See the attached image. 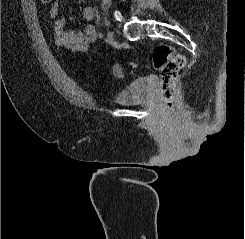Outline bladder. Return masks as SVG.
Masks as SVG:
<instances>
[{
	"instance_id": "1",
	"label": "bladder",
	"mask_w": 245,
	"mask_h": 239,
	"mask_svg": "<svg viewBox=\"0 0 245 239\" xmlns=\"http://www.w3.org/2000/svg\"><path fill=\"white\" fill-rule=\"evenodd\" d=\"M153 87L154 82L148 78L134 80L119 91L116 103L133 105L143 102L151 95Z\"/></svg>"
}]
</instances>
